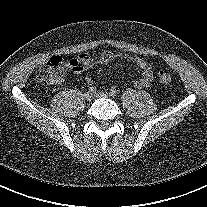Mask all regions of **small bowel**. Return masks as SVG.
<instances>
[{
	"instance_id": "1",
	"label": "small bowel",
	"mask_w": 207,
	"mask_h": 207,
	"mask_svg": "<svg viewBox=\"0 0 207 207\" xmlns=\"http://www.w3.org/2000/svg\"><path fill=\"white\" fill-rule=\"evenodd\" d=\"M117 59L128 61L134 64L141 71L140 77L134 82L135 87L141 89L150 85L152 80V68L148 62L139 57H134L114 51H104L97 56H89L86 54L79 55L77 58H74L69 62V67L74 73L82 74L95 65L109 64ZM61 82L62 78L57 81V83ZM86 83L91 85L93 80L90 77H87Z\"/></svg>"
}]
</instances>
